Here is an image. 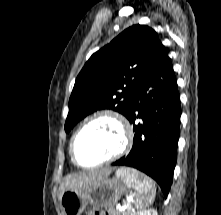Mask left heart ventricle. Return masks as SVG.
I'll use <instances>...</instances> for the list:
<instances>
[{"label":"left heart ventricle","instance_id":"1","mask_svg":"<svg viewBox=\"0 0 221 215\" xmlns=\"http://www.w3.org/2000/svg\"><path fill=\"white\" fill-rule=\"evenodd\" d=\"M122 144V133L115 121L101 118L87 125L79 134L75 152L85 165L98 163L113 153Z\"/></svg>","mask_w":221,"mask_h":215}]
</instances>
